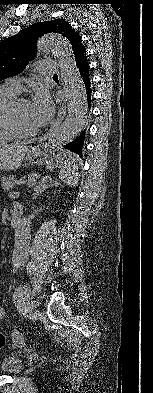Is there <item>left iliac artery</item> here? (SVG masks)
<instances>
[{
  "label": "left iliac artery",
  "mask_w": 153,
  "mask_h": 393,
  "mask_svg": "<svg viewBox=\"0 0 153 393\" xmlns=\"http://www.w3.org/2000/svg\"><path fill=\"white\" fill-rule=\"evenodd\" d=\"M27 291L28 287L26 285H20L15 289L13 294V300L19 312L23 311V303L28 299Z\"/></svg>",
  "instance_id": "44dca946"
}]
</instances>
